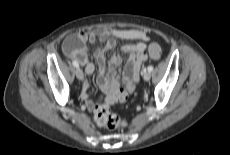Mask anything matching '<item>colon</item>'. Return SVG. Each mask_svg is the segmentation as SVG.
Instances as JSON below:
<instances>
[{
  "label": "colon",
  "mask_w": 230,
  "mask_h": 155,
  "mask_svg": "<svg viewBox=\"0 0 230 155\" xmlns=\"http://www.w3.org/2000/svg\"><path fill=\"white\" fill-rule=\"evenodd\" d=\"M79 42L74 41V45H78ZM149 54L154 60H158L161 57V46L154 42L149 46ZM94 120L95 122L108 129L114 130L119 126L125 125V122L122 121L117 115L112 114L107 105H97L94 109Z\"/></svg>",
  "instance_id": "colon-1"
}]
</instances>
